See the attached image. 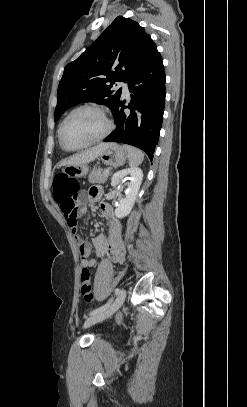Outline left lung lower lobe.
I'll list each match as a JSON object with an SVG mask.
<instances>
[{
    "label": "left lung lower lobe",
    "mask_w": 247,
    "mask_h": 407,
    "mask_svg": "<svg viewBox=\"0 0 247 407\" xmlns=\"http://www.w3.org/2000/svg\"><path fill=\"white\" fill-rule=\"evenodd\" d=\"M131 103L120 100L113 110L117 127L105 142H119L142 149L152 161L159 140L165 106V70L157 48L127 82ZM129 108V111H125Z\"/></svg>",
    "instance_id": "obj_1"
}]
</instances>
